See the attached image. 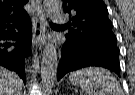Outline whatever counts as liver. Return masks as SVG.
<instances>
[{
    "label": "liver",
    "instance_id": "1",
    "mask_svg": "<svg viewBox=\"0 0 135 95\" xmlns=\"http://www.w3.org/2000/svg\"><path fill=\"white\" fill-rule=\"evenodd\" d=\"M23 82L15 72L0 66V95H21Z\"/></svg>",
    "mask_w": 135,
    "mask_h": 95
}]
</instances>
